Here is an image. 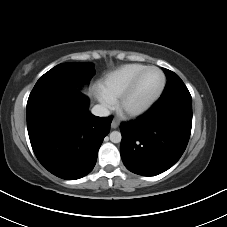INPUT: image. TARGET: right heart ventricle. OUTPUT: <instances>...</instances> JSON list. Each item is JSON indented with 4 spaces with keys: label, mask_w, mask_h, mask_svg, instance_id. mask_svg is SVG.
I'll list each match as a JSON object with an SVG mask.
<instances>
[{
    "label": "right heart ventricle",
    "mask_w": 227,
    "mask_h": 227,
    "mask_svg": "<svg viewBox=\"0 0 227 227\" xmlns=\"http://www.w3.org/2000/svg\"><path fill=\"white\" fill-rule=\"evenodd\" d=\"M145 67L144 64L130 63L114 69L102 79L101 92L113 100L120 98L136 75Z\"/></svg>",
    "instance_id": "1"
}]
</instances>
